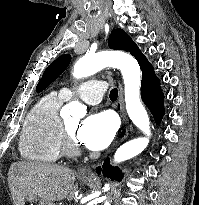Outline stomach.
<instances>
[{
	"instance_id": "obj_1",
	"label": "stomach",
	"mask_w": 199,
	"mask_h": 205,
	"mask_svg": "<svg viewBox=\"0 0 199 205\" xmlns=\"http://www.w3.org/2000/svg\"><path fill=\"white\" fill-rule=\"evenodd\" d=\"M83 182H87L86 179H81ZM27 201L31 203V205H54L52 202L40 199L36 196L33 195H28L27 196ZM34 203V204H33Z\"/></svg>"
}]
</instances>
